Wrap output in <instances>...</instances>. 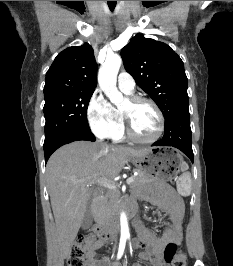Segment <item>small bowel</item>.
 Returning a JSON list of instances; mask_svg holds the SVG:
<instances>
[{"label":"small bowel","instance_id":"small-bowel-1","mask_svg":"<svg viewBox=\"0 0 233 266\" xmlns=\"http://www.w3.org/2000/svg\"><path fill=\"white\" fill-rule=\"evenodd\" d=\"M147 199L164 212L167 228L161 235L146 229L138 224V238L134 242V247L144 248L140 254L142 260H148L153 266H165L163 261V251L170 244H179L182 239V223L184 207L181 198L168 186H162ZM107 243L102 239L93 237L89 244L86 266H112V261L107 256H99L97 250ZM135 266H140L136 264Z\"/></svg>","mask_w":233,"mask_h":266}]
</instances>
